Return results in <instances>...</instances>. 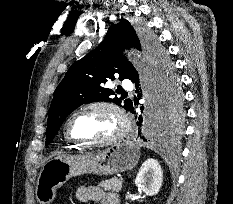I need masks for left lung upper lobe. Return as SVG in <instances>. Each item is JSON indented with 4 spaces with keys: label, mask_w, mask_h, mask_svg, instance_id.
<instances>
[{
    "label": "left lung upper lobe",
    "mask_w": 233,
    "mask_h": 204,
    "mask_svg": "<svg viewBox=\"0 0 233 204\" xmlns=\"http://www.w3.org/2000/svg\"><path fill=\"white\" fill-rule=\"evenodd\" d=\"M141 43L152 56L161 78L163 118L179 129L183 116L182 95L166 51L152 36L139 28L136 31L128 20L121 18L119 23L109 27L96 49L71 65L56 88L48 111L46 145L52 141L66 117L82 104L110 101L128 110L132 101L114 97L115 92L104 88V85L116 77L119 80L131 78L136 69L122 51L130 47L141 50Z\"/></svg>",
    "instance_id": "left-lung-upper-lobe-1"
}]
</instances>
